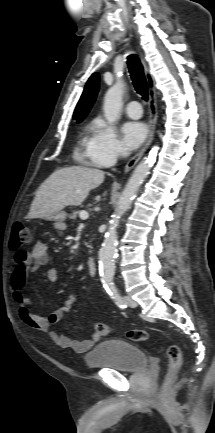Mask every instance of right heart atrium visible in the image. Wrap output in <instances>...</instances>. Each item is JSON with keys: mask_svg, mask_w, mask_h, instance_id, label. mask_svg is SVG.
<instances>
[{"mask_svg": "<svg viewBox=\"0 0 215 433\" xmlns=\"http://www.w3.org/2000/svg\"><path fill=\"white\" fill-rule=\"evenodd\" d=\"M124 154L113 126L102 118L94 121L87 156L94 165L109 167Z\"/></svg>", "mask_w": 215, "mask_h": 433, "instance_id": "1", "label": "right heart atrium"}]
</instances>
